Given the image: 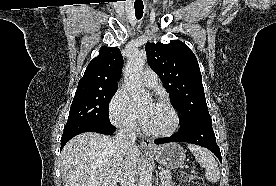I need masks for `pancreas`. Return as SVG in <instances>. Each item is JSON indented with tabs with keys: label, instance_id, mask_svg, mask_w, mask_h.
Here are the masks:
<instances>
[{
	"label": "pancreas",
	"instance_id": "obj_1",
	"mask_svg": "<svg viewBox=\"0 0 276 186\" xmlns=\"http://www.w3.org/2000/svg\"><path fill=\"white\" fill-rule=\"evenodd\" d=\"M166 175L161 178L162 186H172V176L170 170H163Z\"/></svg>",
	"mask_w": 276,
	"mask_h": 186
}]
</instances>
